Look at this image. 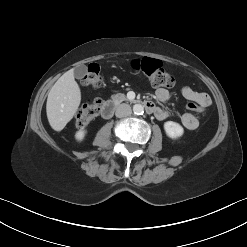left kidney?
Instances as JSON below:
<instances>
[{"instance_id": "5707ae66", "label": "left kidney", "mask_w": 247, "mask_h": 247, "mask_svg": "<svg viewBox=\"0 0 247 247\" xmlns=\"http://www.w3.org/2000/svg\"><path fill=\"white\" fill-rule=\"evenodd\" d=\"M164 130L168 137L171 139H178L181 137L184 133L183 127L173 121H167L164 123Z\"/></svg>"}]
</instances>
